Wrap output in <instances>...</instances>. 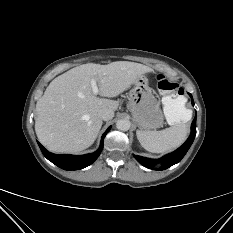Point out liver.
<instances>
[{"label":"liver","instance_id":"6515ba94","mask_svg":"<svg viewBox=\"0 0 233 233\" xmlns=\"http://www.w3.org/2000/svg\"><path fill=\"white\" fill-rule=\"evenodd\" d=\"M150 72L152 69L143 64L117 61L107 65L83 64L56 77L36 104L35 131L39 141L57 153L88 148L102 126L98 112H114L119 105L93 94L91 80L97 82L100 96L113 98Z\"/></svg>","mask_w":233,"mask_h":233}]
</instances>
